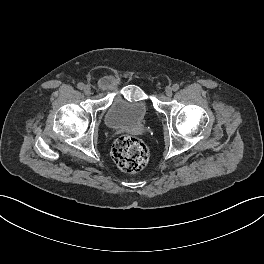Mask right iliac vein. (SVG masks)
<instances>
[{
	"instance_id": "right-iliac-vein-1",
	"label": "right iliac vein",
	"mask_w": 264,
	"mask_h": 264,
	"mask_svg": "<svg viewBox=\"0 0 264 264\" xmlns=\"http://www.w3.org/2000/svg\"><path fill=\"white\" fill-rule=\"evenodd\" d=\"M84 93H85L86 95H90V94H91V88H90V86H85V87H84Z\"/></svg>"
}]
</instances>
